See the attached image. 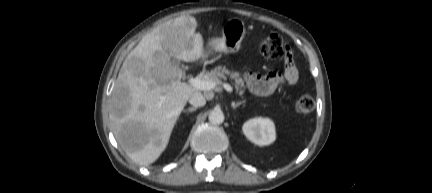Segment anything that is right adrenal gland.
<instances>
[{"instance_id":"obj_1","label":"right adrenal gland","mask_w":432,"mask_h":193,"mask_svg":"<svg viewBox=\"0 0 432 193\" xmlns=\"http://www.w3.org/2000/svg\"><path fill=\"white\" fill-rule=\"evenodd\" d=\"M196 110H197V107H190V108H188V109H185L184 112H189V113H191V112L196 111Z\"/></svg>"}]
</instances>
